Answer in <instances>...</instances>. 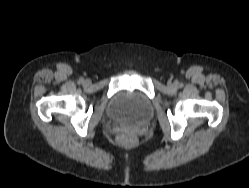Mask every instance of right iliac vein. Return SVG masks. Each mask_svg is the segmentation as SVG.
<instances>
[{"label": "right iliac vein", "instance_id": "63e3f726", "mask_svg": "<svg viewBox=\"0 0 249 188\" xmlns=\"http://www.w3.org/2000/svg\"><path fill=\"white\" fill-rule=\"evenodd\" d=\"M89 83H90L89 80H85V81H84V84H85V85H88Z\"/></svg>", "mask_w": 249, "mask_h": 188}]
</instances>
